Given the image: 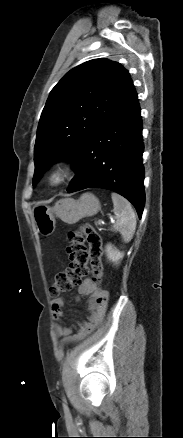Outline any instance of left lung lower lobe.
I'll return each instance as SVG.
<instances>
[{"label": "left lung lower lobe", "mask_w": 183, "mask_h": 438, "mask_svg": "<svg viewBox=\"0 0 183 438\" xmlns=\"http://www.w3.org/2000/svg\"><path fill=\"white\" fill-rule=\"evenodd\" d=\"M142 122L135 89L85 140L71 160L76 176L68 193L86 188L114 191L141 217L144 203Z\"/></svg>", "instance_id": "1"}]
</instances>
